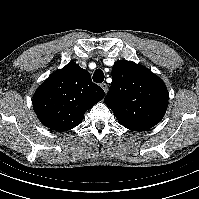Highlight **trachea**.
I'll return each instance as SVG.
<instances>
[{
    "label": "trachea",
    "instance_id": "trachea-1",
    "mask_svg": "<svg viewBox=\"0 0 199 199\" xmlns=\"http://www.w3.org/2000/svg\"><path fill=\"white\" fill-rule=\"evenodd\" d=\"M93 81L101 83L104 81V72L101 69H97L93 74Z\"/></svg>",
    "mask_w": 199,
    "mask_h": 199
}]
</instances>
